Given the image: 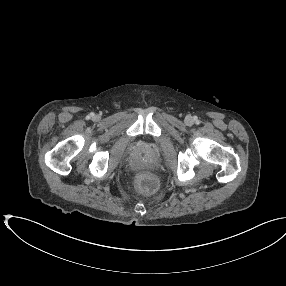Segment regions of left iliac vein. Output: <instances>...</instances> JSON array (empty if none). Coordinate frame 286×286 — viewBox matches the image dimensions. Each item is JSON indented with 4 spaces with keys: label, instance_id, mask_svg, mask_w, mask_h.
<instances>
[{
    "label": "left iliac vein",
    "instance_id": "left-iliac-vein-1",
    "mask_svg": "<svg viewBox=\"0 0 286 286\" xmlns=\"http://www.w3.org/2000/svg\"><path fill=\"white\" fill-rule=\"evenodd\" d=\"M185 122H186L187 124H192L193 120H192L191 117L188 116V117L185 118Z\"/></svg>",
    "mask_w": 286,
    "mask_h": 286
}]
</instances>
